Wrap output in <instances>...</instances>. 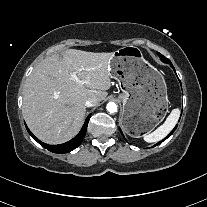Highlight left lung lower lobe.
I'll return each instance as SVG.
<instances>
[{"label":"left lung lower lobe","instance_id":"left-lung-lower-lobe-1","mask_svg":"<svg viewBox=\"0 0 207 207\" xmlns=\"http://www.w3.org/2000/svg\"><path fill=\"white\" fill-rule=\"evenodd\" d=\"M162 61H163V62H166V63H170V61H168L167 59H162ZM171 67L174 69V67H173L172 65H171ZM176 128H177V126H176V127L174 128V130L170 133V135L175 131ZM120 131H121V130H120ZM121 133H122V131H121ZM170 135H169V136H170ZM169 136H168V137H169ZM158 144H160V143H158ZM158 144H156V145H158Z\"/></svg>","mask_w":207,"mask_h":207}]
</instances>
